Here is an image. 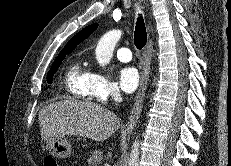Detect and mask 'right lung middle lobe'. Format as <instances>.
Here are the masks:
<instances>
[{
	"label": "right lung middle lobe",
	"mask_w": 231,
	"mask_h": 166,
	"mask_svg": "<svg viewBox=\"0 0 231 166\" xmlns=\"http://www.w3.org/2000/svg\"><path fill=\"white\" fill-rule=\"evenodd\" d=\"M66 54L68 53H64V54H59L58 58L54 61V63L52 64L48 74H47V82L49 84L52 83V79L54 74L56 73L58 67L60 66V64L62 63V60L65 58Z\"/></svg>",
	"instance_id": "obj_1"
}]
</instances>
